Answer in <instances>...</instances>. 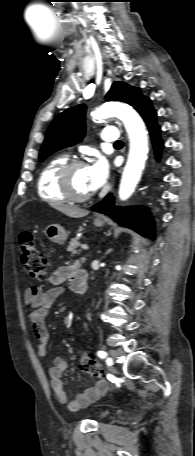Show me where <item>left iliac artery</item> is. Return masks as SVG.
I'll use <instances>...</instances> for the list:
<instances>
[{"instance_id": "1", "label": "left iliac artery", "mask_w": 195, "mask_h": 456, "mask_svg": "<svg viewBox=\"0 0 195 456\" xmlns=\"http://www.w3.org/2000/svg\"><path fill=\"white\" fill-rule=\"evenodd\" d=\"M97 355L100 357V358H106L108 356L107 352L105 351H98L97 352Z\"/></svg>"}]
</instances>
